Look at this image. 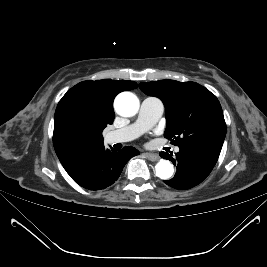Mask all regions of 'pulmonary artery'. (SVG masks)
Listing matches in <instances>:
<instances>
[{"label": "pulmonary artery", "instance_id": "e3ab8cb5", "mask_svg": "<svg viewBox=\"0 0 267 267\" xmlns=\"http://www.w3.org/2000/svg\"><path fill=\"white\" fill-rule=\"evenodd\" d=\"M164 105L162 101L155 97L145 98L140 106L136 121L126 127L111 131L107 135L109 143H123L136 139L141 134L149 130L162 116ZM179 152V148L174 149Z\"/></svg>", "mask_w": 267, "mask_h": 267}]
</instances>
